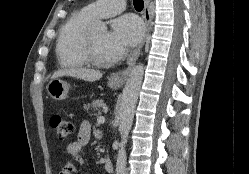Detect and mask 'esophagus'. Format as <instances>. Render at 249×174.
I'll use <instances>...</instances> for the list:
<instances>
[{
	"mask_svg": "<svg viewBox=\"0 0 249 174\" xmlns=\"http://www.w3.org/2000/svg\"><path fill=\"white\" fill-rule=\"evenodd\" d=\"M149 1L150 0H144V19H145V24H146L145 40L141 44V46H139L137 49H135L131 53V55L128 59V62H127V68H125L124 70L118 71L116 73H113L111 75V81L116 85H123L125 83V81L128 78L129 73L133 69V67H134V65H135V63L140 55L141 49L143 48L145 41L147 40V38L149 36V32H150V28H151V19H152Z\"/></svg>",
	"mask_w": 249,
	"mask_h": 174,
	"instance_id": "esophagus-1",
	"label": "esophagus"
}]
</instances>
